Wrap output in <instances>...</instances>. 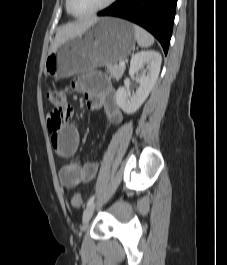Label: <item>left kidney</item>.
<instances>
[{
    "label": "left kidney",
    "instance_id": "1",
    "mask_svg": "<svg viewBox=\"0 0 227 265\" xmlns=\"http://www.w3.org/2000/svg\"><path fill=\"white\" fill-rule=\"evenodd\" d=\"M161 62L162 57L156 51H141L132 56L129 75L134 76L140 70H143V74L137 76L140 86L132 96L128 95L125 87L118 88L116 92V102L125 113L136 112L147 99L158 78ZM145 64H148L146 70H144Z\"/></svg>",
    "mask_w": 227,
    "mask_h": 265
}]
</instances>
